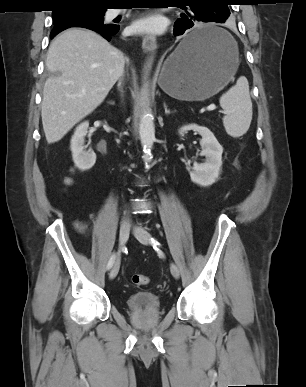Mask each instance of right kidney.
I'll use <instances>...</instances> for the list:
<instances>
[{
    "label": "right kidney",
    "instance_id": "obj_1",
    "mask_svg": "<svg viewBox=\"0 0 306 387\" xmlns=\"http://www.w3.org/2000/svg\"><path fill=\"white\" fill-rule=\"evenodd\" d=\"M88 127L89 123L87 121L81 123L76 128L70 145L74 164L81 171L89 170L96 162V154L91 149L86 151L84 145Z\"/></svg>",
    "mask_w": 306,
    "mask_h": 387
}]
</instances>
